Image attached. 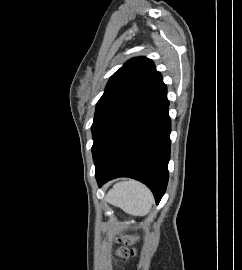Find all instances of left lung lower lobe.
<instances>
[{"mask_svg":"<svg viewBox=\"0 0 242 270\" xmlns=\"http://www.w3.org/2000/svg\"><path fill=\"white\" fill-rule=\"evenodd\" d=\"M162 83L109 131L94 156L99 187L116 177L146 184L158 204L168 182L171 122Z\"/></svg>","mask_w":242,"mask_h":270,"instance_id":"0a47b994","label":"left lung lower lobe"}]
</instances>
